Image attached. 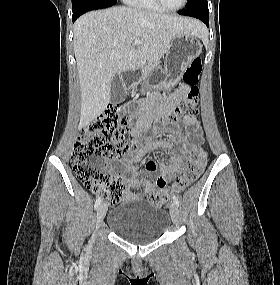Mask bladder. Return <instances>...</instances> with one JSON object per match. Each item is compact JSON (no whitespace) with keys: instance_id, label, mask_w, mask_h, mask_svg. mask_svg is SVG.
<instances>
[{"instance_id":"obj_1","label":"bladder","mask_w":280,"mask_h":285,"mask_svg":"<svg viewBox=\"0 0 280 285\" xmlns=\"http://www.w3.org/2000/svg\"><path fill=\"white\" fill-rule=\"evenodd\" d=\"M170 224L168 212L142 199L123 201L107 215V225L119 237L145 243L159 239Z\"/></svg>"}]
</instances>
